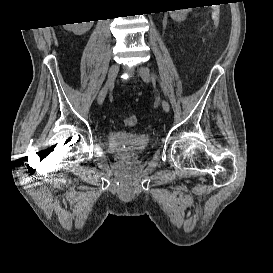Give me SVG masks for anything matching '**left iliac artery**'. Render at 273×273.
<instances>
[{"label": "left iliac artery", "instance_id": "44dca946", "mask_svg": "<svg viewBox=\"0 0 273 273\" xmlns=\"http://www.w3.org/2000/svg\"><path fill=\"white\" fill-rule=\"evenodd\" d=\"M151 76H152V79H154V80L156 79V80L159 81V83H160V85H161V88H162V90H163V92H164V95L167 96L166 89H165V87L163 86V84H162V82L160 81V79L158 78V76L156 75V73L152 71Z\"/></svg>", "mask_w": 273, "mask_h": 273}]
</instances>
